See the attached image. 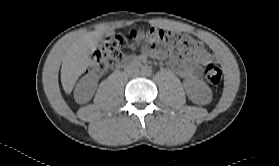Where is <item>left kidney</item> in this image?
<instances>
[{
	"label": "left kidney",
	"instance_id": "1",
	"mask_svg": "<svg viewBox=\"0 0 279 166\" xmlns=\"http://www.w3.org/2000/svg\"><path fill=\"white\" fill-rule=\"evenodd\" d=\"M188 98L196 104H205L212 99V91L209 86L199 79H188L184 82Z\"/></svg>",
	"mask_w": 279,
	"mask_h": 166
}]
</instances>
